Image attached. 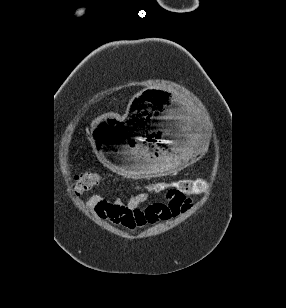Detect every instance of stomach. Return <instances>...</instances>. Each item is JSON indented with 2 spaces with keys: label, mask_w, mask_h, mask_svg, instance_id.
I'll list each match as a JSON object with an SVG mask.
<instances>
[{
  "label": "stomach",
  "mask_w": 286,
  "mask_h": 308,
  "mask_svg": "<svg viewBox=\"0 0 286 308\" xmlns=\"http://www.w3.org/2000/svg\"><path fill=\"white\" fill-rule=\"evenodd\" d=\"M193 100L177 91L139 92L127 118L117 113H98L90 122L89 149H95L100 165L144 182L145 177H175L194 168L209 148L205 138L211 130L204 112H197Z\"/></svg>",
  "instance_id": "1"
}]
</instances>
